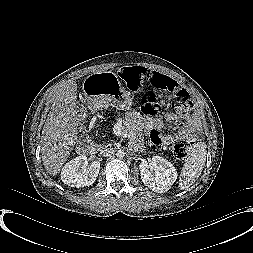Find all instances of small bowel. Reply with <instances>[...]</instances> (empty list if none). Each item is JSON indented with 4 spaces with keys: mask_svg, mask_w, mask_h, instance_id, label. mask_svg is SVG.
Wrapping results in <instances>:
<instances>
[{
    "mask_svg": "<svg viewBox=\"0 0 253 253\" xmlns=\"http://www.w3.org/2000/svg\"><path fill=\"white\" fill-rule=\"evenodd\" d=\"M153 73L162 76L171 87L180 89L178 82L173 78L168 77L166 75H162L157 72ZM184 92L189 95L186 91ZM164 118L170 122H177L181 118H184L186 120V125L182 126L179 129V134L192 132L191 129L197 128L199 125L197 114L184 108H179L173 112L166 113ZM127 120L130 126L135 130V132L147 130L150 133L151 141L154 144L169 145L173 140V137L171 135H165L161 133L162 120L160 118H143L137 114H131L128 116Z\"/></svg>",
    "mask_w": 253,
    "mask_h": 253,
    "instance_id": "small-bowel-1",
    "label": "small bowel"
}]
</instances>
